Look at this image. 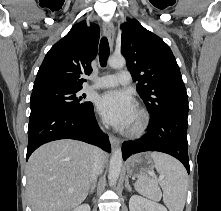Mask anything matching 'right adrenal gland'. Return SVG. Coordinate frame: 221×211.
Listing matches in <instances>:
<instances>
[{
  "label": "right adrenal gland",
  "instance_id": "obj_1",
  "mask_svg": "<svg viewBox=\"0 0 221 211\" xmlns=\"http://www.w3.org/2000/svg\"><path fill=\"white\" fill-rule=\"evenodd\" d=\"M95 187H96V181H95V182L93 183V185L91 186L89 195L93 194Z\"/></svg>",
  "mask_w": 221,
  "mask_h": 211
}]
</instances>
